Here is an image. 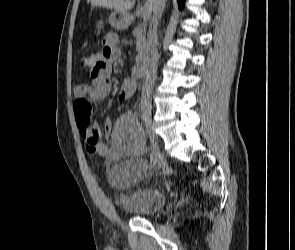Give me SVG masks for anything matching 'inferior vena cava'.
<instances>
[{"label":"inferior vena cava","mask_w":295,"mask_h":250,"mask_svg":"<svg viewBox=\"0 0 295 250\" xmlns=\"http://www.w3.org/2000/svg\"><path fill=\"white\" fill-rule=\"evenodd\" d=\"M166 0H155L153 17L150 23L148 39H147V70L142 86L141 95V112L142 116H150L151 114V95L156 78V72L158 67V52H157V27L159 19L164 11Z\"/></svg>","instance_id":"602c4592"}]
</instances>
